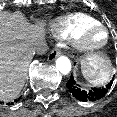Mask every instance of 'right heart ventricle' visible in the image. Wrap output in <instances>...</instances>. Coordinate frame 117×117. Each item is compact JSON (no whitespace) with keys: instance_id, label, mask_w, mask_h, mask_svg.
Masks as SVG:
<instances>
[{"instance_id":"1","label":"right heart ventricle","mask_w":117,"mask_h":117,"mask_svg":"<svg viewBox=\"0 0 117 117\" xmlns=\"http://www.w3.org/2000/svg\"><path fill=\"white\" fill-rule=\"evenodd\" d=\"M99 21L85 13H69L57 18L51 25L52 31L60 39L75 38L86 27Z\"/></svg>"}]
</instances>
